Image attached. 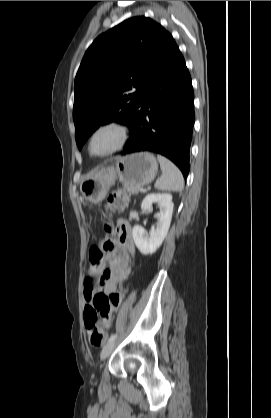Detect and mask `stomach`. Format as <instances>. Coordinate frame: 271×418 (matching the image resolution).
<instances>
[{"instance_id": "stomach-1", "label": "stomach", "mask_w": 271, "mask_h": 418, "mask_svg": "<svg viewBox=\"0 0 271 418\" xmlns=\"http://www.w3.org/2000/svg\"><path fill=\"white\" fill-rule=\"evenodd\" d=\"M157 171L156 158L149 152H139L119 158L113 165L90 174L81 182L80 190L87 201L99 203L117 179L143 186L154 180Z\"/></svg>"}]
</instances>
